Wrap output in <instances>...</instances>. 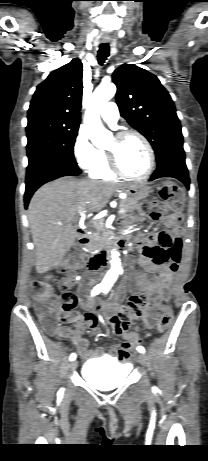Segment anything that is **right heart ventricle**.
Returning <instances> with one entry per match:
<instances>
[{"label":"right heart ventricle","mask_w":208,"mask_h":461,"mask_svg":"<svg viewBox=\"0 0 208 461\" xmlns=\"http://www.w3.org/2000/svg\"><path fill=\"white\" fill-rule=\"evenodd\" d=\"M89 175L93 179L111 181L116 179V175L111 171L106 153L98 151L96 163L89 169Z\"/></svg>","instance_id":"right-heart-ventricle-1"}]
</instances>
